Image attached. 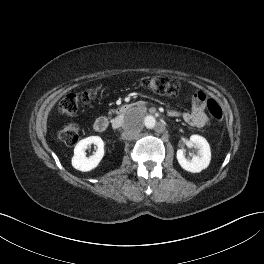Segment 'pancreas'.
<instances>
[{"instance_id":"pancreas-1","label":"pancreas","mask_w":264,"mask_h":264,"mask_svg":"<svg viewBox=\"0 0 264 264\" xmlns=\"http://www.w3.org/2000/svg\"><path fill=\"white\" fill-rule=\"evenodd\" d=\"M114 112H115V110L112 109L109 111V114L114 113Z\"/></svg>"}]
</instances>
